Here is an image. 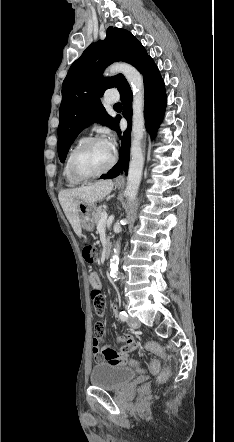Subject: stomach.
<instances>
[{"instance_id": "1", "label": "stomach", "mask_w": 234, "mask_h": 442, "mask_svg": "<svg viewBox=\"0 0 234 442\" xmlns=\"http://www.w3.org/2000/svg\"><path fill=\"white\" fill-rule=\"evenodd\" d=\"M117 187H121V184H116ZM79 218L81 226L87 230L92 231L95 226L94 215L96 212L95 204L81 203L78 206Z\"/></svg>"}]
</instances>
